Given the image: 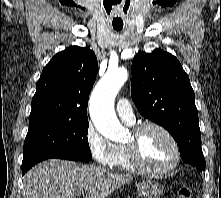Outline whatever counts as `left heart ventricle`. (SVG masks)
Wrapping results in <instances>:
<instances>
[{
  "mask_svg": "<svg viewBox=\"0 0 221 198\" xmlns=\"http://www.w3.org/2000/svg\"><path fill=\"white\" fill-rule=\"evenodd\" d=\"M131 140V135L127 142ZM138 151L142 162L151 168H164L174 158L170 140L157 129H147L138 140Z\"/></svg>",
  "mask_w": 221,
  "mask_h": 198,
  "instance_id": "left-heart-ventricle-1",
  "label": "left heart ventricle"
}]
</instances>
